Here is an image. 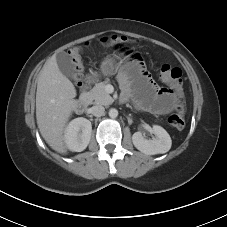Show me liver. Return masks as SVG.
I'll return each mask as SVG.
<instances>
[{
	"instance_id": "obj_1",
	"label": "liver",
	"mask_w": 227,
	"mask_h": 227,
	"mask_svg": "<svg viewBox=\"0 0 227 227\" xmlns=\"http://www.w3.org/2000/svg\"><path fill=\"white\" fill-rule=\"evenodd\" d=\"M75 97L74 85L60 71L56 56L53 55L39 73L36 119L44 140L60 154H67L64 130L77 104Z\"/></svg>"
}]
</instances>
